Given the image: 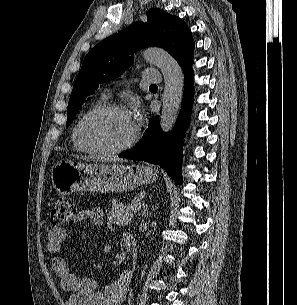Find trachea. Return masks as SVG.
Returning a JSON list of instances; mask_svg holds the SVG:
<instances>
[{
  "mask_svg": "<svg viewBox=\"0 0 297 305\" xmlns=\"http://www.w3.org/2000/svg\"><path fill=\"white\" fill-rule=\"evenodd\" d=\"M150 87H157V85L153 84V85H151Z\"/></svg>",
  "mask_w": 297,
  "mask_h": 305,
  "instance_id": "trachea-1",
  "label": "trachea"
}]
</instances>
